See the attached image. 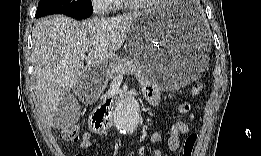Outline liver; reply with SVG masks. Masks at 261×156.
Instances as JSON below:
<instances>
[{"label":"liver","instance_id":"liver-1","mask_svg":"<svg viewBox=\"0 0 261 156\" xmlns=\"http://www.w3.org/2000/svg\"><path fill=\"white\" fill-rule=\"evenodd\" d=\"M142 15L133 12L108 19L91 18L83 22L64 15L39 19L32 32L37 98L49 127H56V113L70 90L87 69L115 57L133 22ZM88 52L84 66L80 55ZM75 111L80 115V106Z\"/></svg>","mask_w":261,"mask_h":156}]
</instances>
